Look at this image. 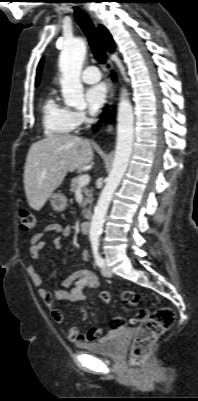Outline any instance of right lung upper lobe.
Instances as JSON below:
<instances>
[{"label":"right lung upper lobe","instance_id":"cb5924a9","mask_svg":"<svg viewBox=\"0 0 198 401\" xmlns=\"http://www.w3.org/2000/svg\"><path fill=\"white\" fill-rule=\"evenodd\" d=\"M99 32L101 34V37L103 39V43L107 51L112 52L115 48L114 41L107 31V29L103 26H99ZM41 69H42V61L39 63L38 69H37V77H36V85L39 84L40 81V75H41Z\"/></svg>","mask_w":198,"mask_h":401}]
</instances>
